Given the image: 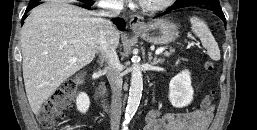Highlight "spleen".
I'll return each mask as SVG.
<instances>
[{
	"instance_id": "1",
	"label": "spleen",
	"mask_w": 257,
	"mask_h": 130,
	"mask_svg": "<svg viewBox=\"0 0 257 130\" xmlns=\"http://www.w3.org/2000/svg\"><path fill=\"white\" fill-rule=\"evenodd\" d=\"M190 22L192 24V31L199 37L201 44L207 50L209 57L214 61L220 60L221 55L218 44L207 24L196 16L191 17Z\"/></svg>"
}]
</instances>
